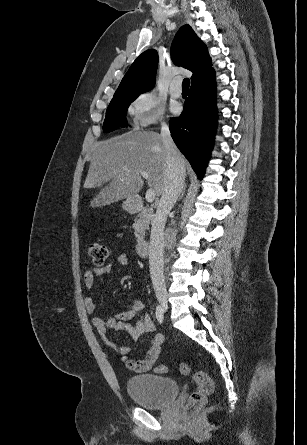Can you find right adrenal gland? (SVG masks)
<instances>
[{
    "instance_id": "right-adrenal-gland-1",
    "label": "right adrenal gland",
    "mask_w": 307,
    "mask_h": 445,
    "mask_svg": "<svg viewBox=\"0 0 307 445\" xmlns=\"http://www.w3.org/2000/svg\"><path fill=\"white\" fill-rule=\"evenodd\" d=\"M185 188H186V184H184V186H183V190H182V192H181V194H180L178 200H181V198H182V196H183V194H184V192H185Z\"/></svg>"
}]
</instances>
